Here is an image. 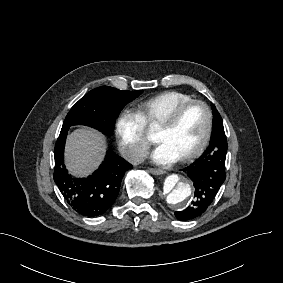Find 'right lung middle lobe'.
Segmentation results:
<instances>
[{
    "mask_svg": "<svg viewBox=\"0 0 283 283\" xmlns=\"http://www.w3.org/2000/svg\"><path fill=\"white\" fill-rule=\"evenodd\" d=\"M143 91L118 90L109 86L95 88L84 95L69 111L62 127L87 125L110 135L123 107Z\"/></svg>",
    "mask_w": 283,
    "mask_h": 283,
    "instance_id": "dd1d6c3e",
    "label": "right lung middle lobe"
}]
</instances>
